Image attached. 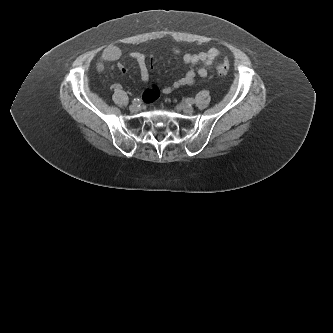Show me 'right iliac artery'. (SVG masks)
I'll return each mask as SVG.
<instances>
[{"mask_svg": "<svg viewBox=\"0 0 333 333\" xmlns=\"http://www.w3.org/2000/svg\"><path fill=\"white\" fill-rule=\"evenodd\" d=\"M132 102H133V103H138V104H139V103H140V99H138V98H134Z\"/></svg>", "mask_w": 333, "mask_h": 333, "instance_id": "obj_1", "label": "right iliac artery"}]
</instances>
